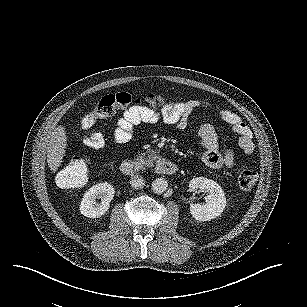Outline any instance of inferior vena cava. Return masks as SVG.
<instances>
[{
	"label": "inferior vena cava",
	"instance_id": "1",
	"mask_svg": "<svg viewBox=\"0 0 307 307\" xmlns=\"http://www.w3.org/2000/svg\"><path fill=\"white\" fill-rule=\"evenodd\" d=\"M130 185L133 189H142L145 185V181L142 176L134 175L130 179Z\"/></svg>",
	"mask_w": 307,
	"mask_h": 307
}]
</instances>
